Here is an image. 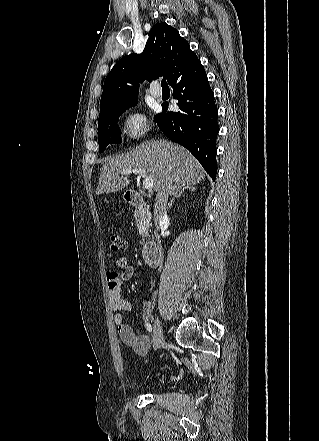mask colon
I'll return each instance as SVG.
<instances>
[{
    "label": "colon",
    "mask_w": 319,
    "mask_h": 441,
    "mask_svg": "<svg viewBox=\"0 0 319 441\" xmlns=\"http://www.w3.org/2000/svg\"><path fill=\"white\" fill-rule=\"evenodd\" d=\"M108 236L110 242V249L112 251L118 252V251H123L125 249L126 242L119 233L115 231H110Z\"/></svg>",
    "instance_id": "5ec220e1"
}]
</instances>
